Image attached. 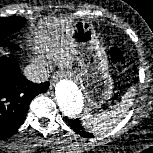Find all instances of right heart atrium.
I'll return each mask as SVG.
<instances>
[{
  "instance_id": "right-heart-atrium-1",
  "label": "right heart atrium",
  "mask_w": 153,
  "mask_h": 153,
  "mask_svg": "<svg viewBox=\"0 0 153 153\" xmlns=\"http://www.w3.org/2000/svg\"><path fill=\"white\" fill-rule=\"evenodd\" d=\"M36 62H37L39 65H45V64H46L45 60H44L43 58H41V57H38V58L36 59Z\"/></svg>"
}]
</instances>
